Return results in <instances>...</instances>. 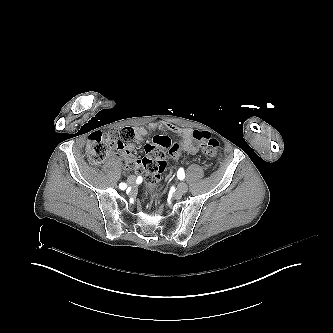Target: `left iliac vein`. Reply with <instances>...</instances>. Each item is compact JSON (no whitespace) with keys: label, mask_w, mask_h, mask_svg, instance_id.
Instances as JSON below:
<instances>
[{"label":"left iliac vein","mask_w":333,"mask_h":333,"mask_svg":"<svg viewBox=\"0 0 333 333\" xmlns=\"http://www.w3.org/2000/svg\"><path fill=\"white\" fill-rule=\"evenodd\" d=\"M187 190H188V186L186 185V183H184V182H180V183L178 184V186H177V193H178L179 195H182V194L186 193Z\"/></svg>","instance_id":"obj_1"}]
</instances>
